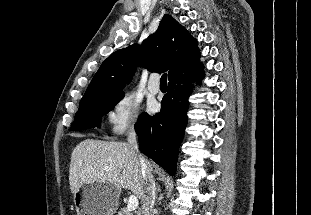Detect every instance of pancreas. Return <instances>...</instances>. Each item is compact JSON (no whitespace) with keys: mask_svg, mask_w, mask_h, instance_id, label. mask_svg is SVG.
<instances>
[{"mask_svg":"<svg viewBox=\"0 0 311 215\" xmlns=\"http://www.w3.org/2000/svg\"><path fill=\"white\" fill-rule=\"evenodd\" d=\"M117 215H134V214H133V212H131V211H129V210L123 208V209H121V210L118 212Z\"/></svg>","mask_w":311,"mask_h":215,"instance_id":"pancreas-1","label":"pancreas"}]
</instances>
